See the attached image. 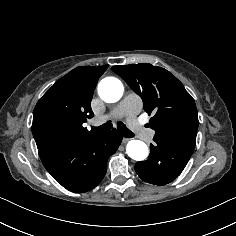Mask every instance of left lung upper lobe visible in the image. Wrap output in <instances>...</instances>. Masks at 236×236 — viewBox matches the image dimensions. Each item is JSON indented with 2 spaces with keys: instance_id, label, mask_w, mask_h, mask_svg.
Instances as JSON below:
<instances>
[{
  "instance_id": "obj_1",
  "label": "left lung upper lobe",
  "mask_w": 236,
  "mask_h": 236,
  "mask_svg": "<svg viewBox=\"0 0 236 236\" xmlns=\"http://www.w3.org/2000/svg\"><path fill=\"white\" fill-rule=\"evenodd\" d=\"M112 70L143 100L144 110L154 116L149 126L153 140H163L193 151L198 129L194 99L183 84L164 68L148 63L118 65Z\"/></svg>"
}]
</instances>
